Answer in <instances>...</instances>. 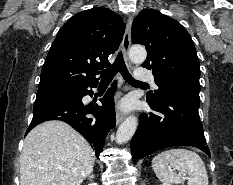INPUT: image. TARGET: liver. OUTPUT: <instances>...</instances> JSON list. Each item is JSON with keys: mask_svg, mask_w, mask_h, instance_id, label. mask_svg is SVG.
<instances>
[{"mask_svg": "<svg viewBox=\"0 0 233 185\" xmlns=\"http://www.w3.org/2000/svg\"><path fill=\"white\" fill-rule=\"evenodd\" d=\"M94 162L95 153L82 135L62 121H46L24 140L20 185H80Z\"/></svg>", "mask_w": 233, "mask_h": 185, "instance_id": "liver-1", "label": "liver"}]
</instances>
